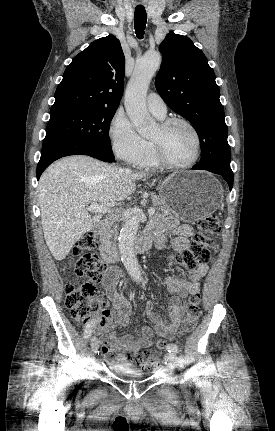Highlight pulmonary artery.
Here are the masks:
<instances>
[{"label":"pulmonary artery","mask_w":275,"mask_h":431,"mask_svg":"<svg viewBox=\"0 0 275 431\" xmlns=\"http://www.w3.org/2000/svg\"><path fill=\"white\" fill-rule=\"evenodd\" d=\"M148 109L156 116H165L167 113V106L161 96L155 92L149 93L146 99Z\"/></svg>","instance_id":"1"}]
</instances>
